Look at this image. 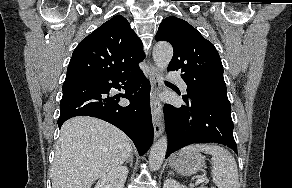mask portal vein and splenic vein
I'll list each match as a JSON object with an SVG mask.
<instances>
[{
  "label": "portal vein and splenic vein",
  "mask_w": 292,
  "mask_h": 188,
  "mask_svg": "<svg viewBox=\"0 0 292 188\" xmlns=\"http://www.w3.org/2000/svg\"><path fill=\"white\" fill-rule=\"evenodd\" d=\"M205 180V177H200L197 181H196V185L203 182ZM214 188V187H213Z\"/></svg>",
  "instance_id": "obj_1"
}]
</instances>
